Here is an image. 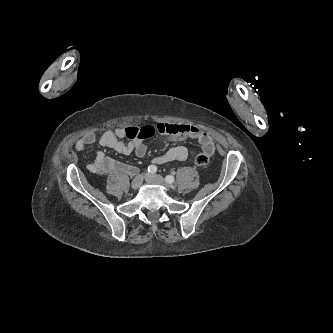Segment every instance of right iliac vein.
I'll return each mask as SVG.
<instances>
[{
  "instance_id": "63e3f726",
  "label": "right iliac vein",
  "mask_w": 333,
  "mask_h": 333,
  "mask_svg": "<svg viewBox=\"0 0 333 333\" xmlns=\"http://www.w3.org/2000/svg\"><path fill=\"white\" fill-rule=\"evenodd\" d=\"M145 178V174L143 175V174H140V175H137L134 179H133V181H132V183H131V187L134 189V190H136V189H138L141 185H142V183H143V179Z\"/></svg>"
}]
</instances>
